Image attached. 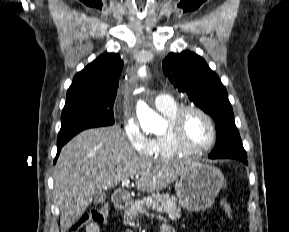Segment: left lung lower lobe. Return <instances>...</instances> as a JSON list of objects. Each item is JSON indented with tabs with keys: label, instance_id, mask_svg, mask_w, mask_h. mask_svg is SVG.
Masks as SVG:
<instances>
[{
	"label": "left lung lower lobe",
	"instance_id": "left-lung-lower-lobe-1",
	"mask_svg": "<svg viewBox=\"0 0 289 232\" xmlns=\"http://www.w3.org/2000/svg\"><path fill=\"white\" fill-rule=\"evenodd\" d=\"M230 158L240 160V161L244 162L246 165L248 164L246 158H242V157H230Z\"/></svg>",
	"mask_w": 289,
	"mask_h": 232
}]
</instances>
